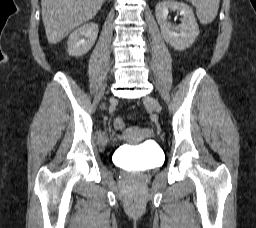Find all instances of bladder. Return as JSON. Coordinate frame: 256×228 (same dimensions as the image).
Wrapping results in <instances>:
<instances>
[{
	"mask_svg": "<svg viewBox=\"0 0 256 228\" xmlns=\"http://www.w3.org/2000/svg\"><path fill=\"white\" fill-rule=\"evenodd\" d=\"M105 140V139H103ZM158 158L157 152L154 149H147L145 150L139 159V161L144 164L145 166L153 165Z\"/></svg>",
	"mask_w": 256,
	"mask_h": 228,
	"instance_id": "1",
	"label": "bladder"
}]
</instances>
